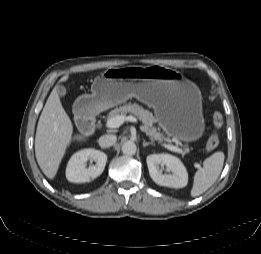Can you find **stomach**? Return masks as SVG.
Instances as JSON below:
<instances>
[{
    "mask_svg": "<svg viewBox=\"0 0 261 254\" xmlns=\"http://www.w3.org/2000/svg\"><path fill=\"white\" fill-rule=\"evenodd\" d=\"M91 94L81 96L86 109L97 112L131 97L153 108L164 132L185 142L198 140L205 121L199 88L182 74L164 66L108 68L96 77Z\"/></svg>",
    "mask_w": 261,
    "mask_h": 254,
    "instance_id": "obj_1",
    "label": "stomach"
}]
</instances>
